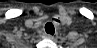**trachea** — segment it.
Here are the masks:
<instances>
[{"label": "trachea", "mask_w": 97, "mask_h": 48, "mask_svg": "<svg viewBox=\"0 0 97 48\" xmlns=\"http://www.w3.org/2000/svg\"><path fill=\"white\" fill-rule=\"evenodd\" d=\"M45 31H46V33H48L50 35H54V33H55L54 25L51 22H48L45 25Z\"/></svg>", "instance_id": "3493384b"}]
</instances>
